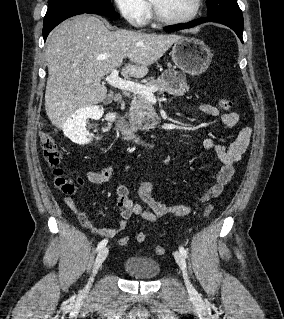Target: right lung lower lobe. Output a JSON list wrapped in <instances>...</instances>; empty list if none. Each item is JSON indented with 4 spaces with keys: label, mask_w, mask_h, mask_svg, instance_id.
I'll return each mask as SVG.
<instances>
[{
    "label": "right lung lower lobe",
    "mask_w": 284,
    "mask_h": 319,
    "mask_svg": "<svg viewBox=\"0 0 284 319\" xmlns=\"http://www.w3.org/2000/svg\"><path fill=\"white\" fill-rule=\"evenodd\" d=\"M83 13H93V14H100V15H104L110 18H114L117 19L120 17V15L118 13L115 12L114 8L109 9V10H105V9H93V10H82V11H72V12H67L64 14H61L57 17H55L54 19L48 21V22H44L43 23V38L44 41L46 40L48 34L50 33V31L56 27L59 23H61L62 21H64L65 19L75 16V15H79V14H83Z\"/></svg>",
    "instance_id": "1"
}]
</instances>
